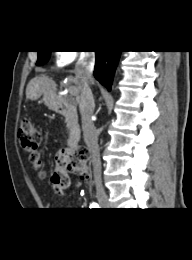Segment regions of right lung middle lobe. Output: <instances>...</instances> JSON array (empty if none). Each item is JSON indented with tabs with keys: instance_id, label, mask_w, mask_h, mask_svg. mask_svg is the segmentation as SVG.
<instances>
[{
	"instance_id": "right-lung-middle-lobe-1",
	"label": "right lung middle lobe",
	"mask_w": 192,
	"mask_h": 260,
	"mask_svg": "<svg viewBox=\"0 0 192 260\" xmlns=\"http://www.w3.org/2000/svg\"><path fill=\"white\" fill-rule=\"evenodd\" d=\"M50 52L51 51H38V60L36 65L40 66L45 64L49 60Z\"/></svg>"
}]
</instances>
